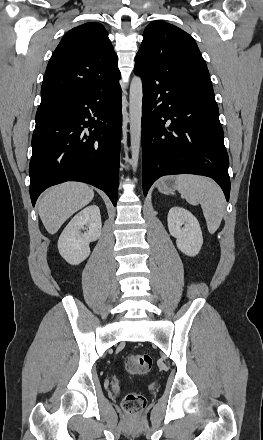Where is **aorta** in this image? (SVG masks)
Listing matches in <instances>:
<instances>
[{"label":"aorta","mask_w":263,"mask_h":440,"mask_svg":"<svg viewBox=\"0 0 263 440\" xmlns=\"http://www.w3.org/2000/svg\"><path fill=\"white\" fill-rule=\"evenodd\" d=\"M143 86L139 76H134L130 84L129 117L132 167L136 171L140 153L141 118H142Z\"/></svg>","instance_id":"1"}]
</instances>
